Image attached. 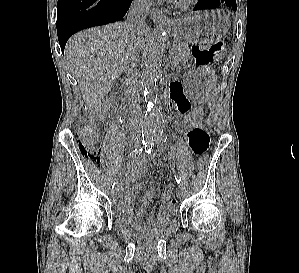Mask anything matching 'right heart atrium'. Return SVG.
<instances>
[{
  "label": "right heart atrium",
  "instance_id": "obj_1",
  "mask_svg": "<svg viewBox=\"0 0 299 273\" xmlns=\"http://www.w3.org/2000/svg\"><path fill=\"white\" fill-rule=\"evenodd\" d=\"M141 4H147L149 0H138Z\"/></svg>",
  "mask_w": 299,
  "mask_h": 273
}]
</instances>
